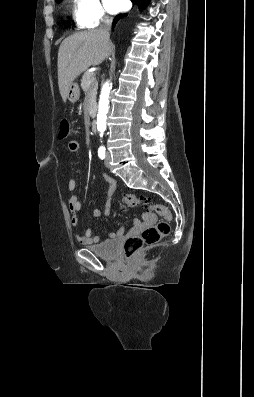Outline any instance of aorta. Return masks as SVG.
Returning <instances> with one entry per match:
<instances>
[{"label":"aorta","mask_w":254,"mask_h":397,"mask_svg":"<svg viewBox=\"0 0 254 397\" xmlns=\"http://www.w3.org/2000/svg\"><path fill=\"white\" fill-rule=\"evenodd\" d=\"M111 87L112 83H110V81H107L105 82L101 90L97 115V130L99 131L100 137H103V134L106 130V119L109 110V94Z\"/></svg>","instance_id":"762f6f07"}]
</instances>
